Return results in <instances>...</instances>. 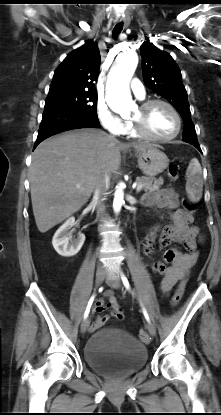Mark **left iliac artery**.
I'll return each instance as SVG.
<instances>
[{
    "label": "left iliac artery",
    "instance_id": "obj_1",
    "mask_svg": "<svg viewBox=\"0 0 221 415\" xmlns=\"http://www.w3.org/2000/svg\"><path fill=\"white\" fill-rule=\"evenodd\" d=\"M121 279H122V282H123V284H124L125 288H126L128 291H131L129 281H128V279L126 278V276L122 274V275H121ZM142 311H143V314H144V316H145L146 320H147L148 322H150L149 315H148V313H147V311H146V309H145L144 307L142 308Z\"/></svg>",
    "mask_w": 221,
    "mask_h": 415
}]
</instances>
